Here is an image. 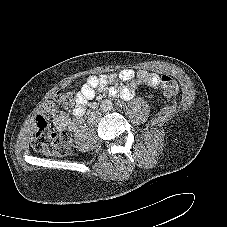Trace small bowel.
Listing matches in <instances>:
<instances>
[{
  "instance_id": "1",
  "label": "small bowel",
  "mask_w": 227,
  "mask_h": 227,
  "mask_svg": "<svg viewBox=\"0 0 227 227\" xmlns=\"http://www.w3.org/2000/svg\"><path fill=\"white\" fill-rule=\"evenodd\" d=\"M117 80L129 82V85L121 89L111 86L108 88L109 95L111 97L120 96L124 99H130L133 97L134 89L138 85L156 86L159 83V75L146 70L135 72L132 69H123L118 73L90 75L76 93L72 117L63 113L53 120L54 126L61 132H76L82 123L88 102L95 97L96 89H105Z\"/></svg>"
}]
</instances>
